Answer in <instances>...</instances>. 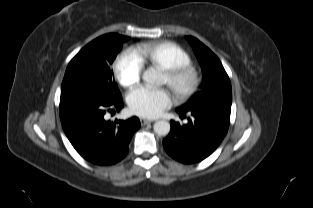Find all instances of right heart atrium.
I'll return each instance as SVG.
<instances>
[{"label":"right heart atrium","instance_id":"obj_1","mask_svg":"<svg viewBox=\"0 0 313 208\" xmlns=\"http://www.w3.org/2000/svg\"><path fill=\"white\" fill-rule=\"evenodd\" d=\"M143 62L133 50L124 52L115 63V75L125 88H132L140 81Z\"/></svg>","mask_w":313,"mask_h":208}]
</instances>
